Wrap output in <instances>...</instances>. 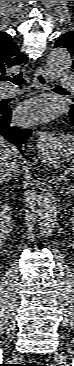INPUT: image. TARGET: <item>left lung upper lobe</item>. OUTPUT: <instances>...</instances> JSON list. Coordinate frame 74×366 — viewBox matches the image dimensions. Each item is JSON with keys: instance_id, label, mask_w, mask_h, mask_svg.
Instances as JSON below:
<instances>
[{"instance_id": "1", "label": "left lung upper lobe", "mask_w": 74, "mask_h": 366, "mask_svg": "<svg viewBox=\"0 0 74 366\" xmlns=\"http://www.w3.org/2000/svg\"><path fill=\"white\" fill-rule=\"evenodd\" d=\"M55 47L66 48L73 57V75H74V31L66 32L60 36L55 44ZM74 102V98L72 99Z\"/></svg>"}]
</instances>
